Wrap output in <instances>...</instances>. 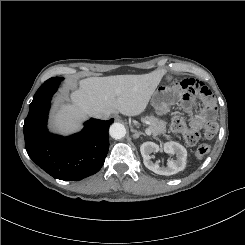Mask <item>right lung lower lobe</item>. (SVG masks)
Masks as SVG:
<instances>
[{
    "mask_svg": "<svg viewBox=\"0 0 245 245\" xmlns=\"http://www.w3.org/2000/svg\"><path fill=\"white\" fill-rule=\"evenodd\" d=\"M63 78L53 77L37 90L24 121L25 148L29 157L56 179L78 181L100 170L108 149V129L113 119H90L84 129L63 137L48 132L50 101Z\"/></svg>",
    "mask_w": 245,
    "mask_h": 245,
    "instance_id": "obj_1",
    "label": "right lung lower lobe"
}]
</instances>
